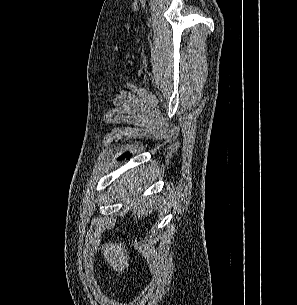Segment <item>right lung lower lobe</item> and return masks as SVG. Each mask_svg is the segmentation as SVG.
<instances>
[{"label": "right lung lower lobe", "instance_id": "right-lung-lower-lobe-1", "mask_svg": "<svg viewBox=\"0 0 297 305\" xmlns=\"http://www.w3.org/2000/svg\"><path fill=\"white\" fill-rule=\"evenodd\" d=\"M125 157H129V154L125 153L120 159L125 158Z\"/></svg>", "mask_w": 297, "mask_h": 305}]
</instances>
